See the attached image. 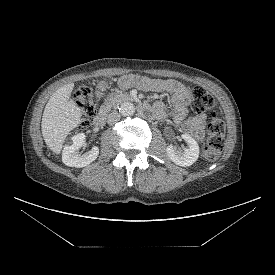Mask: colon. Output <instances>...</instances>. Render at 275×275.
<instances>
[{
    "mask_svg": "<svg viewBox=\"0 0 275 275\" xmlns=\"http://www.w3.org/2000/svg\"><path fill=\"white\" fill-rule=\"evenodd\" d=\"M75 101L87 120L96 111V101L91 88L82 85L74 95ZM215 106V99L203 88L193 89V108L197 112L210 110ZM208 140L203 149V156L208 161L219 158L224 145L225 124L217 112H213L207 126Z\"/></svg>",
    "mask_w": 275,
    "mask_h": 275,
    "instance_id": "colon-1",
    "label": "colon"
}]
</instances>
